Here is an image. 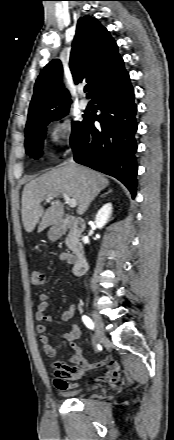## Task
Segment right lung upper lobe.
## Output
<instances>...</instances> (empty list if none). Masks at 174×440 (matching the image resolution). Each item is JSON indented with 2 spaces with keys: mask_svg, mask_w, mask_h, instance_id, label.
Wrapping results in <instances>:
<instances>
[{
  "mask_svg": "<svg viewBox=\"0 0 174 440\" xmlns=\"http://www.w3.org/2000/svg\"><path fill=\"white\" fill-rule=\"evenodd\" d=\"M117 48L116 41L98 20L91 16L78 20L69 64L75 83L85 80L90 85L88 96L123 61ZM62 71L61 62L55 59L38 76L26 129L69 109L70 94L62 84Z\"/></svg>",
  "mask_w": 174,
  "mask_h": 440,
  "instance_id": "obj_1",
  "label": "right lung upper lobe"
}]
</instances>
